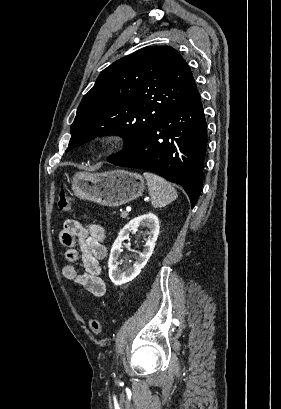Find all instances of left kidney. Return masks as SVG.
<instances>
[{"label":"left kidney","instance_id":"5707ae66","mask_svg":"<svg viewBox=\"0 0 281 409\" xmlns=\"http://www.w3.org/2000/svg\"><path fill=\"white\" fill-rule=\"evenodd\" d=\"M138 227H147L148 229L146 233L148 239L145 243L143 253H140L133 267H128L126 271H122V269H119L118 267L119 257L122 251V241H126L130 233H132L134 229H138ZM159 231L160 225L158 217H156V215H153V213H146V215H140V217H135V219L129 221V223H127V225H125V227L121 229L120 233H118L116 241H114L112 245L108 261L109 279H111L114 285H118V287L119 285H125V283L133 281V279H135V277L139 275L141 269L145 267L148 259H150L154 251Z\"/></svg>","mask_w":281,"mask_h":409}]
</instances>
